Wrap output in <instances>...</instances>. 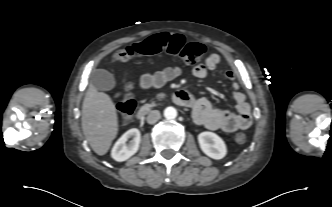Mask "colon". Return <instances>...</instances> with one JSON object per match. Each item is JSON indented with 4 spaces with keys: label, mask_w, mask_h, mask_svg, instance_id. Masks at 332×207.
<instances>
[{
    "label": "colon",
    "mask_w": 332,
    "mask_h": 207,
    "mask_svg": "<svg viewBox=\"0 0 332 207\" xmlns=\"http://www.w3.org/2000/svg\"><path fill=\"white\" fill-rule=\"evenodd\" d=\"M162 51L173 56L180 57L185 63L196 64L203 56L205 49L202 44L187 42L180 34L160 33L153 35L143 42L135 43L120 48L114 55L116 60L125 61L138 55H153ZM132 84L126 82L124 92H117L115 98L121 99V122L124 126L129 125L136 109V102L131 94ZM235 141L243 144L246 136L243 133L235 135Z\"/></svg>",
    "instance_id": "colon-1"
}]
</instances>
